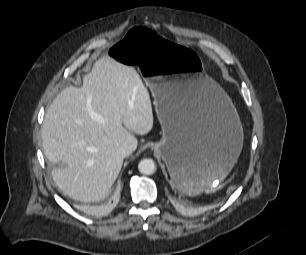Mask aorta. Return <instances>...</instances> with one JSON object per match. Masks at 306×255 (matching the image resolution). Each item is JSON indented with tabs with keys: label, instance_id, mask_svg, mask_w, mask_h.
I'll return each instance as SVG.
<instances>
[{
	"label": "aorta",
	"instance_id": "obj_1",
	"mask_svg": "<svg viewBox=\"0 0 306 255\" xmlns=\"http://www.w3.org/2000/svg\"><path fill=\"white\" fill-rule=\"evenodd\" d=\"M138 170L144 175H152L156 171L155 162L151 158L143 159L138 164Z\"/></svg>",
	"mask_w": 306,
	"mask_h": 255
}]
</instances>
